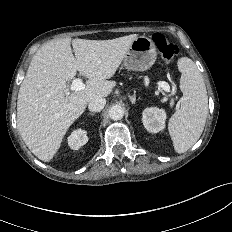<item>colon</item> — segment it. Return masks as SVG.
<instances>
[{
    "instance_id": "obj_1",
    "label": "colon",
    "mask_w": 232,
    "mask_h": 232,
    "mask_svg": "<svg viewBox=\"0 0 232 232\" xmlns=\"http://www.w3.org/2000/svg\"><path fill=\"white\" fill-rule=\"evenodd\" d=\"M153 41L162 59L167 63L173 62L176 56L178 55V47L175 44L168 41L161 33L154 34Z\"/></svg>"
}]
</instances>
